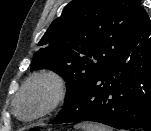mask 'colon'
<instances>
[{"label":"colon","mask_w":151,"mask_h":131,"mask_svg":"<svg viewBox=\"0 0 151 131\" xmlns=\"http://www.w3.org/2000/svg\"><path fill=\"white\" fill-rule=\"evenodd\" d=\"M25 131H42V130L38 127L33 126V127L26 128Z\"/></svg>","instance_id":"obj_1"}]
</instances>
